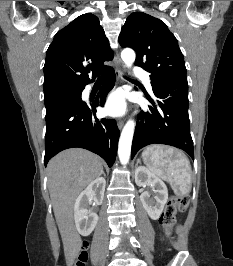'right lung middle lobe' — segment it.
Listing matches in <instances>:
<instances>
[{"label":"right lung middle lobe","instance_id":"dd1d6c3e","mask_svg":"<svg viewBox=\"0 0 233 266\" xmlns=\"http://www.w3.org/2000/svg\"><path fill=\"white\" fill-rule=\"evenodd\" d=\"M82 89H64L44 94L46 111L63 103L81 98Z\"/></svg>","mask_w":233,"mask_h":266}]
</instances>
